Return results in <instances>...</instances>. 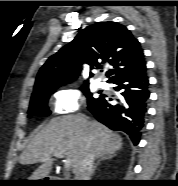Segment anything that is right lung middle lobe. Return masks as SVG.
Listing matches in <instances>:
<instances>
[{
  "label": "right lung middle lobe",
  "instance_id": "dd1d6c3e",
  "mask_svg": "<svg viewBox=\"0 0 178 186\" xmlns=\"http://www.w3.org/2000/svg\"><path fill=\"white\" fill-rule=\"evenodd\" d=\"M81 89L88 99V105L96 100V98L92 97L88 85H83ZM54 90L55 88L43 89L32 95L28 110L29 116H47L50 114V111L47 107V102L49 99V95Z\"/></svg>",
  "mask_w": 178,
  "mask_h": 186
}]
</instances>
